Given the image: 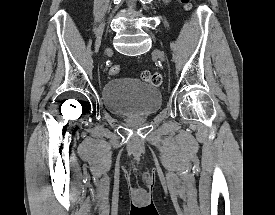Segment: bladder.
<instances>
[{
  "mask_svg": "<svg viewBox=\"0 0 275 215\" xmlns=\"http://www.w3.org/2000/svg\"><path fill=\"white\" fill-rule=\"evenodd\" d=\"M102 101L118 116L148 117L161 107V93L146 81L111 79L102 88Z\"/></svg>",
  "mask_w": 275,
  "mask_h": 215,
  "instance_id": "bladder-1",
  "label": "bladder"
}]
</instances>
